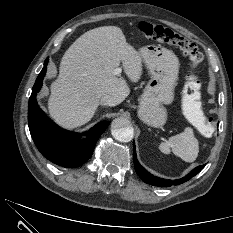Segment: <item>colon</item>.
Returning <instances> with one entry per match:
<instances>
[{"instance_id": "colon-1", "label": "colon", "mask_w": 233, "mask_h": 233, "mask_svg": "<svg viewBox=\"0 0 233 233\" xmlns=\"http://www.w3.org/2000/svg\"><path fill=\"white\" fill-rule=\"evenodd\" d=\"M140 31L148 38L178 47L189 59L192 71L201 63L203 55L198 46L186 37L160 24L141 21ZM183 111L204 135L213 133L212 119L206 117L200 103V81L190 72L183 91Z\"/></svg>"}]
</instances>
